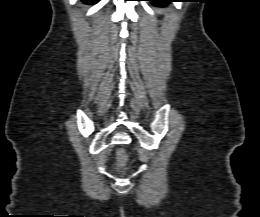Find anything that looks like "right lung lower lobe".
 <instances>
[{"instance_id": "98d812e1", "label": "right lung lower lobe", "mask_w": 260, "mask_h": 217, "mask_svg": "<svg viewBox=\"0 0 260 217\" xmlns=\"http://www.w3.org/2000/svg\"><path fill=\"white\" fill-rule=\"evenodd\" d=\"M84 3L93 4L96 3L98 0H82Z\"/></svg>"}]
</instances>
